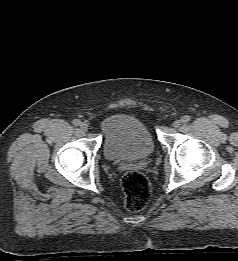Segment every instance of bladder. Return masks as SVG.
<instances>
[{
	"mask_svg": "<svg viewBox=\"0 0 238 261\" xmlns=\"http://www.w3.org/2000/svg\"><path fill=\"white\" fill-rule=\"evenodd\" d=\"M105 158L110 161H132L148 157L155 150V140L140 119L129 114H114L101 125Z\"/></svg>",
	"mask_w": 238,
	"mask_h": 261,
	"instance_id": "31cf9c89",
	"label": "bladder"
}]
</instances>
